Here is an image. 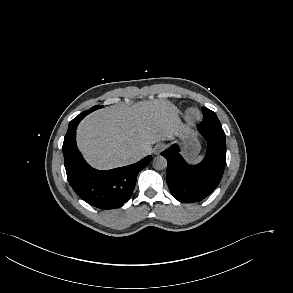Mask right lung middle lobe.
<instances>
[{"instance_id":"1","label":"right lung middle lobe","mask_w":293,"mask_h":293,"mask_svg":"<svg viewBox=\"0 0 293 293\" xmlns=\"http://www.w3.org/2000/svg\"><path fill=\"white\" fill-rule=\"evenodd\" d=\"M102 106H100V105H96V106H94V107H92L89 111H94V110H97V109H99V108H101Z\"/></svg>"}]
</instances>
